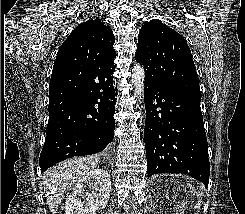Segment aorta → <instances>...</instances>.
Listing matches in <instances>:
<instances>
[{"label": "aorta", "instance_id": "obj_1", "mask_svg": "<svg viewBox=\"0 0 245 214\" xmlns=\"http://www.w3.org/2000/svg\"><path fill=\"white\" fill-rule=\"evenodd\" d=\"M145 72L141 65L136 64L132 68L131 83L134 86V93L142 99L144 91Z\"/></svg>", "mask_w": 245, "mask_h": 214}]
</instances>
